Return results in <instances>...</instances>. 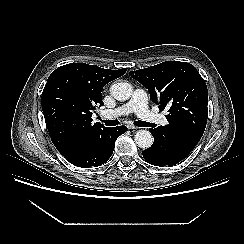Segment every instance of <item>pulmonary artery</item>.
<instances>
[{"mask_svg": "<svg viewBox=\"0 0 244 244\" xmlns=\"http://www.w3.org/2000/svg\"><path fill=\"white\" fill-rule=\"evenodd\" d=\"M130 113H136L142 120L149 123L164 126L168 122L164 115L154 113L149 109L148 96L143 89H136L129 102L115 109L104 111L103 116L105 118H114Z\"/></svg>", "mask_w": 244, "mask_h": 244, "instance_id": "1", "label": "pulmonary artery"}]
</instances>
